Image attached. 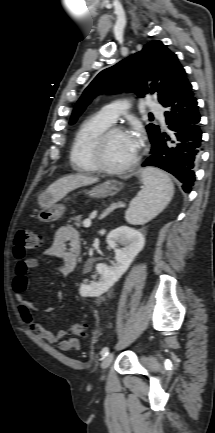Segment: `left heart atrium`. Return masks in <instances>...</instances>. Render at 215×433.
<instances>
[{
    "instance_id": "obj_1",
    "label": "left heart atrium",
    "mask_w": 215,
    "mask_h": 433,
    "mask_svg": "<svg viewBox=\"0 0 215 433\" xmlns=\"http://www.w3.org/2000/svg\"><path fill=\"white\" fill-rule=\"evenodd\" d=\"M130 137H131L133 143H134L137 147H139V145H140V143H141V136H140V134H139V133H134V134H131Z\"/></svg>"
}]
</instances>
